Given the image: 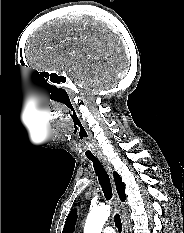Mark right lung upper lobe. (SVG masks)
Segmentation results:
<instances>
[{
    "label": "right lung upper lobe",
    "mask_w": 184,
    "mask_h": 233,
    "mask_svg": "<svg viewBox=\"0 0 184 233\" xmlns=\"http://www.w3.org/2000/svg\"><path fill=\"white\" fill-rule=\"evenodd\" d=\"M113 176H114V181H115V185H116V190L119 194L120 200L123 202V201H125V198H126L124 183L122 182V179L118 173L113 172ZM76 220H77V211L75 209H73L69 213V215L66 219L63 233H73L74 228H75V224H76Z\"/></svg>",
    "instance_id": "obj_1"
}]
</instances>
